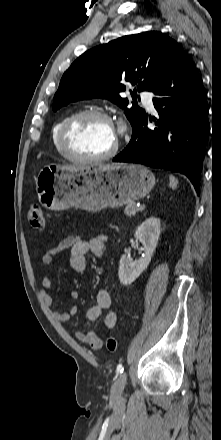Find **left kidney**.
<instances>
[{
  "instance_id": "1",
  "label": "left kidney",
  "mask_w": 221,
  "mask_h": 440,
  "mask_svg": "<svg viewBox=\"0 0 221 440\" xmlns=\"http://www.w3.org/2000/svg\"><path fill=\"white\" fill-rule=\"evenodd\" d=\"M160 219L149 217L135 231L134 237L141 241L145 254L139 260L129 255H122L119 263L118 276L121 284L130 285L149 265L160 237Z\"/></svg>"
}]
</instances>
